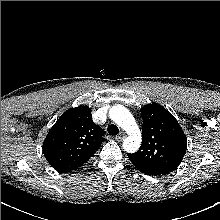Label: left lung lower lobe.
Here are the masks:
<instances>
[{"label":"left lung lower lobe","instance_id":"0a47b994","mask_svg":"<svg viewBox=\"0 0 220 220\" xmlns=\"http://www.w3.org/2000/svg\"><path fill=\"white\" fill-rule=\"evenodd\" d=\"M129 157V160L132 162V164H134V166L136 168H138L141 172L149 175V176H158V175H162L160 174L158 171H155L154 169L150 168L149 166H147L146 164L140 162V161H137L135 160L134 158Z\"/></svg>","mask_w":220,"mask_h":220}]
</instances>
